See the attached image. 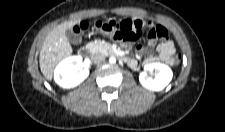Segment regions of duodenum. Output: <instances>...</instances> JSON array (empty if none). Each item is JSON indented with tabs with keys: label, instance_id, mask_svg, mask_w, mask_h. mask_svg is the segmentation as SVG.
<instances>
[{
	"label": "duodenum",
	"instance_id": "1",
	"mask_svg": "<svg viewBox=\"0 0 225 132\" xmlns=\"http://www.w3.org/2000/svg\"><path fill=\"white\" fill-rule=\"evenodd\" d=\"M112 53H115V54H117V55H119L121 58H124V56L122 55V54H120V53H118L117 51H112Z\"/></svg>",
	"mask_w": 225,
	"mask_h": 132
}]
</instances>
